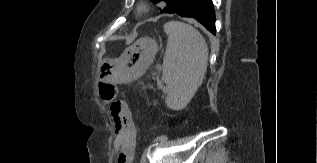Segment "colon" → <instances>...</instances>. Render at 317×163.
I'll return each mask as SVG.
<instances>
[{
    "label": "colon",
    "mask_w": 317,
    "mask_h": 163,
    "mask_svg": "<svg viewBox=\"0 0 317 163\" xmlns=\"http://www.w3.org/2000/svg\"><path fill=\"white\" fill-rule=\"evenodd\" d=\"M100 97L103 101L111 103V111L113 114L122 111L123 105L121 102L115 101L117 96V88L112 83H104L99 88Z\"/></svg>",
    "instance_id": "5ec220e1"
}]
</instances>
